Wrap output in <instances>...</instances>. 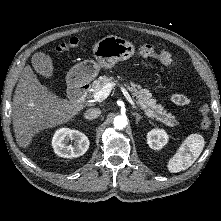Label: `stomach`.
I'll list each match as a JSON object with an SVG mask.
<instances>
[{
    "label": "stomach",
    "instance_id": "1",
    "mask_svg": "<svg viewBox=\"0 0 221 221\" xmlns=\"http://www.w3.org/2000/svg\"><path fill=\"white\" fill-rule=\"evenodd\" d=\"M135 54V47L128 40L107 36L99 40L93 47L95 60H84L70 69L67 75L73 86L92 81L99 73L100 68L111 69L119 61L131 58Z\"/></svg>",
    "mask_w": 221,
    "mask_h": 221
}]
</instances>
